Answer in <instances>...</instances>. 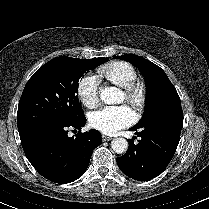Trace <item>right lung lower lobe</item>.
Wrapping results in <instances>:
<instances>
[{
  "label": "right lung lower lobe",
  "mask_w": 209,
  "mask_h": 209,
  "mask_svg": "<svg viewBox=\"0 0 209 209\" xmlns=\"http://www.w3.org/2000/svg\"><path fill=\"white\" fill-rule=\"evenodd\" d=\"M84 115L65 123L36 126L20 134L23 150L32 166L46 179L71 183L87 169L93 150L102 143L97 130L68 137V128L81 129Z\"/></svg>",
  "instance_id": "obj_1"
}]
</instances>
